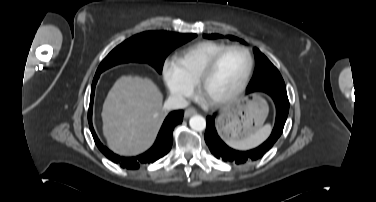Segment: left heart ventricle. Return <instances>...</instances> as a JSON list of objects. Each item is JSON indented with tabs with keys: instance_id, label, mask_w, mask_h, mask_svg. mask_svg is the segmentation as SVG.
<instances>
[{
	"instance_id": "b2bd125f",
	"label": "left heart ventricle",
	"mask_w": 376,
	"mask_h": 202,
	"mask_svg": "<svg viewBox=\"0 0 376 202\" xmlns=\"http://www.w3.org/2000/svg\"><path fill=\"white\" fill-rule=\"evenodd\" d=\"M247 56L240 50H231L221 59L207 83V94L222 97L237 87L247 68Z\"/></svg>"
}]
</instances>
